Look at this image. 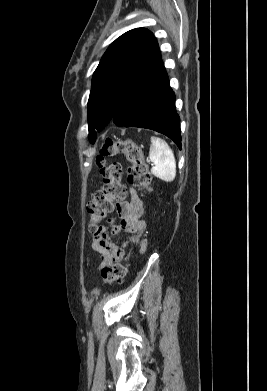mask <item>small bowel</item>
<instances>
[{
    "label": "small bowel",
    "mask_w": 267,
    "mask_h": 391,
    "mask_svg": "<svg viewBox=\"0 0 267 391\" xmlns=\"http://www.w3.org/2000/svg\"><path fill=\"white\" fill-rule=\"evenodd\" d=\"M117 220L111 219L109 222L110 233L115 235L122 231L130 234L122 245H115L109 238L108 227L102 226L100 232L94 236L92 248L101 259V268H105L115 262L121 261L125 257V248L128 245L135 246L139 253L146 250V239L144 232L146 222L142 220L144 212L143 202L134 189H130V199L120 201L116 204Z\"/></svg>",
    "instance_id": "c3829d8e"
}]
</instances>
